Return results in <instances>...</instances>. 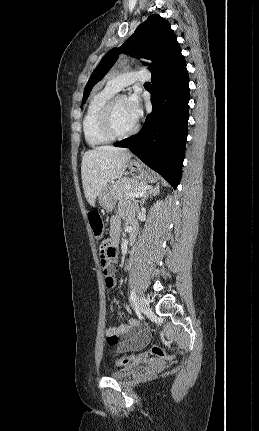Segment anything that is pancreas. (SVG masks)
I'll list each match as a JSON object with an SVG mask.
<instances>
[{
  "instance_id": "obj_1",
  "label": "pancreas",
  "mask_w": 259,
  "mask_h": 431,
  "mask_svg": "<svg viewBox=\"0 0 259 431\" xmlns=\"http://www.w3.org/2000/svg\"><path fill=\"white\" fill-rule=\"evenodd\" d=\"M145 186V183L134 179L123 177L117 180L111 188V194L115 201L121 200L126 193H129L134 190L141 189ZM128 198V197H127Z\"/></svg>"
}]
</instances>
